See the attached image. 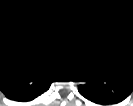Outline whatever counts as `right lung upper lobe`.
Listing matches in <instances>:
<instances>
[{
  "mask_svg": "<svg viewBox=\"0 0 133 106\" xmlns=\"http://www.w3.org/2000/svg\"><path fill=\"white\" fill-rule=\"evenodd\" d=\"M59 73L46 47L36 40L21 41L0 53V90L11 100L35 99Z\"/></svg>",
  "mask_w": 133,
  "mask_h": 106,
  "instance_id": "right-lung-upper-lobe-1",
  "label": "right lung upper lobe"
}]
</instances>
